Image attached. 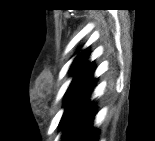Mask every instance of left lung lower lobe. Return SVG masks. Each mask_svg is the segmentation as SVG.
<instances>
[{
  "label": "left lung lower lobe",
  "mask_w": 155,
  "mask_h": 141,
  "mask_svg": "<svg viewBox=\"0 0 155 141\" xmlns=\"http://www.w3.org/2000/svg\"><path fill=\"white\" fill-rule=\"evenodd\" d=\"M96 85L93 79L86 90L70 106L63 122L62 141H97L95 129L92 127L96 107L90 96Z\"/></svg>",
  "instance_id": "0a47b994"
}]
</instances>
